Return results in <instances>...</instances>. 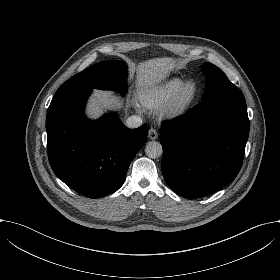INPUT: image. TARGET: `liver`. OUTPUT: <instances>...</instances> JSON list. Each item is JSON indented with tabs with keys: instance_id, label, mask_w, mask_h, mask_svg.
<instances>
[{
	"instance_id": "obj_1",
	"label": "liver",
	"mask_w": 280,
	"mask_h": 280,
	"mask_svg": "<svg viewBox=\"0 0 280 280\" xmlns=\"http://www.w3.org/2000/svg\"><path fill=\"white\" fill-rule=\"evenodd\" d=\"M173 62L171 58H155L148 61L140 62L136 66L138 85L144 87L145 84L152 85L159 83L169 70L172 69ZM135 64L129 65L130 77H133ZM121 103L111 96L110 92L95 90L88 104V113L91 117L97 118L105 107H113Z\"/></svg>"
}]
</instances>
